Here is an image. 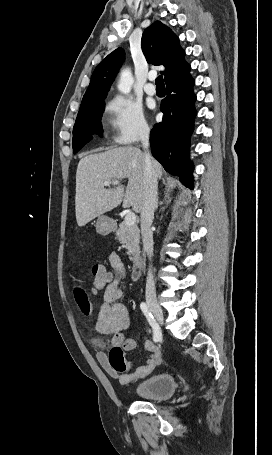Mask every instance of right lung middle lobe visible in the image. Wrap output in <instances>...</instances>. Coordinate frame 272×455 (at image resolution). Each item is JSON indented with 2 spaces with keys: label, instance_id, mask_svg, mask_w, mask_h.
<instances>
[{
  "label": "right lung middle lobe",
  "instance_id": "obj_1",
  "mask_svg": "<svg viewBox=\"0 0 272 455\" xmlns=\"http://www.w3.org/2000/svg\"><path fill=\"white\" fill-rule=\"evenodd\" d=\"M104 103L79 111L73 128V152H78L93 139V134H102L101 117Z\"/></svg>",
  "mask_w": 272,
  "mask_h": 455
}]
</instances>
